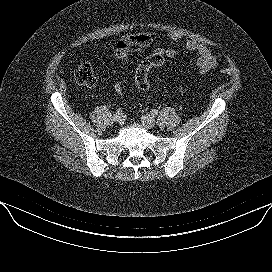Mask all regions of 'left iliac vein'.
Here are the masks:
<instances>
[{"mask_svg":"<svg viewBox=\"0 0 272 272\" xmlns=\"http://www.w3.org/2000/svg\"><path fill=\"white\" fill-rule=\"evenodd\" d=\"M141 120H142V123L143 125L148 128V129H151L153 127H155V119L152 115H149V114H146V115H143L141 117Z\"/></svg>","mask_w":272,"mask_h":272,"instance_id":"4c4485c4","label":"left iliac vein"}]
</instances>
